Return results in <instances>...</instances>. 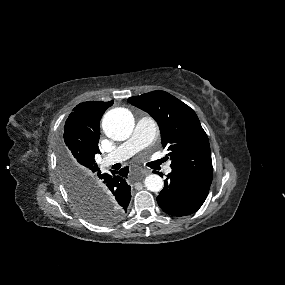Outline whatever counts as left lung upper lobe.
<instances>
[{
  "label": "left lung upper lobe",
  "instance_id": "1",
  "mask_svg": "<svg viewBox=\"0 0 285 285\" xmlns=\"http://www.w3.org/2000/svg\"><path fill=\"white\" fill-rule=\"evenodd\" d=\"M128 101L158 123L172 170L212 177L209 140L193 109L165 91L130 97Z\"/></svg>",
  "mask_w": 285,
  "mask_h": 285
}]
</instances>
